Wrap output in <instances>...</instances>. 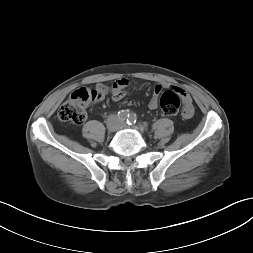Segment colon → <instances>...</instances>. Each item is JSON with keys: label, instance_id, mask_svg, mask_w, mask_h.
<instances>
[{"label": "colon", "instance_id": "1", "mask_svg": "<svg viewBox=\"0 0 253 253\" xmlns=\"http://www.w3.org/2000/svg\"><path fill=\"white\" fill-rule=\"evenodd\" d=\"M104 96L105 93L98 88H78L60 107L58 117L64 122L81 124L86 119L87 107ZM160 107L165 116H176L181 107L180 95L173 90L163 92L160 97Z\"/></svg>", "mask_w": 253, "mask_h": 253}]
</instances>
